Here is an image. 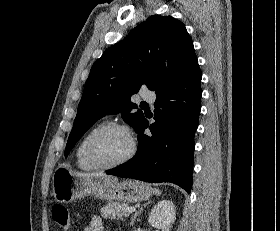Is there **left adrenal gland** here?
Instances as JSON below:
<instances>
[{
	"mask_svg": "<svg viewBox=\"0 0 280 231\" xmlns=\"http://www.w3.org/2000/svg\"><path fill=\"white\" fill-rule=\"evenodd\" d=\"M148 203H152L151 199H148L147 203H143L142 207H140L139 211H136L134 215L131 217L130 225H133L134 221H136V217H138L139 213H141L142 209L148 205Z\"/></svg>",
	"mask_w": 280,
	"mask_h": 231,
	"instance_id": "1",
	"label": "left adrenal gland"
}]
</instances>
